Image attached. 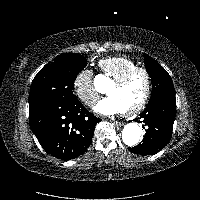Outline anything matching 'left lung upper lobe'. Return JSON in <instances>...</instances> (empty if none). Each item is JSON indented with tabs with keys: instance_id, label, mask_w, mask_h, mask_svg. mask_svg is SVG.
<instances>
[{
	"instance_id": "left-lung-upper-lobe-1",
	"label": "left lung upper lobe",
	"mask_w": 200,
	"mask_h": 200,
	"mask_svg": "<svg viewBox=\"0 0 200 200\" xmlns=\"http://www.w3.org/2000/svg\"><path fill=\"white\" fill-rule=\"evenodd\" d=\"M144 60L146 70L152 79L153 90L150 100L163 94L175 95L174 86L167 71L147 54H144Z\"/></svg>"
}]
</instances>
